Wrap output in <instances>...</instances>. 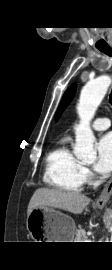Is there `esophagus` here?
Segmentation results:
<instances>
[{
	"instance_id": "esophagus-1",
	"label": "esophagus",
	"mask_w": 112,
	"mask_h": 270,
	"mask_svg": "<svg viewBox=\"0 0 112 270\" xmlns=\"http://www.w3.org/2000/svg\"><path fill=\"white\" fill-rule=\"evenodd\" d=\"M111 196H112V177L106 183L104 189L102 190L101 194L97 198L96 205L99 207L105 206Z\"/></svg>"
}]
</instances>
